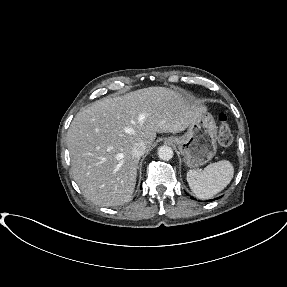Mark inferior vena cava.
Instances as JSON below:
<instances>
[{
	"label": "inferior vena cava",
	"mask_w": 287,
	"mask_h": 287,
	"mask_svg": "<svg viewBox=\"0 0 287 287\" xmlns=\"http://www.w3.org/2000/svg\"><path fill=\"white\" fill-rule=\"evenodd\" d=\"M145 151H146V146L144 142L140 141L133 146L131 150V154L133 157L139 159L145 153Z\"/></svg>",
	"instance_id": "602c4592"
}]
</instances>
